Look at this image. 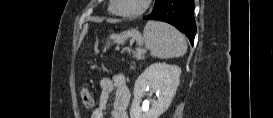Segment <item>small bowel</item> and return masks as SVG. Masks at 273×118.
Here are the masks:
<instances>
[{
  "instance_id": "obj_1",
  "label": "small bowel",
  "mask_w": 273,
  "mask_h": 118,
  "mask_svg": "<svg viewBox=\"0 0 273 118\" xmlns=\"http://www.w3.org/2000/svg\"><path fill=\"white\" fill-rule=\"evenodd\" d=\"M114 94L112 118H128V107L131 100V93L122 74H115L112 77H102L100 80V96L97 105L92 97L91 118H105L106 108L111 95ZM84 104V103H83Z\"/></svg>"
}]
</instances>
